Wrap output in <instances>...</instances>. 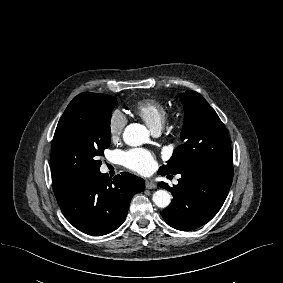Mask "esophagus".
Wrapping results in <instances>:
<instances>
[{"label": "esophagus", "instance_id": "obj_1", "mask_svg": "<svg viewBox=\"0 0 283 283\" xmlns=\"http://www.w3.org/2000/svg\"><path fill=\"white\" fill-rule=\"evenodd\" d=\"M145 187L147 189H155L157 188V185L154 182L147 180L145 183Z\"/></svg>", "mask_w": 283, "mask_h": 283}]
</instances>
